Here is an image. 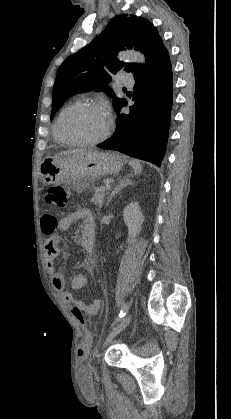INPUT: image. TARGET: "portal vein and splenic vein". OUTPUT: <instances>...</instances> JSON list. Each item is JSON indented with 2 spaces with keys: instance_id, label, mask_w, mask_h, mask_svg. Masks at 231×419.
Wrapping results in <instances>:
<instances>
[{
  "instance_id": "portal-vein-and-splenic-vein-1",
  "label": "portal vein and splenic vein",
  "mask_w": 231,
  "mask_h": 419,
  "mask_svg": "<svg viewBox=\"0 0 231 419\" xmlns=\"http://www.w3.org/2000/svg\"><path fill=\"white\" fill-rule=\"evenodd\" d=\"M108 187H109V185L102 186V187L100 188V190H101L102 192H104V191H105Z\"/></svg>"
}]
</instances>
